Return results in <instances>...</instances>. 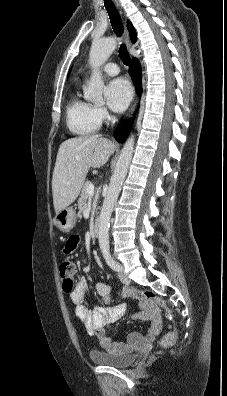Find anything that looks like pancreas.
Wrapping results in <instances>:
<instances>
[{"label": "pancreas", "instance_id": "1", "mask_svg": "<svg viewBox=\"0 0 227 396\" xmlns=\"http://www.w3.org/2000/svg\"><path fill=\"white\" fill-rule=\"evenodd\" d=\"M92 185V182L87 180L85 184L83 185L81 189V196L78 200V206L80 209L84 208L87 202V199L89 198V194L87 193V188Z\"/></svg>", "mask_w": 227, "mask_h": 396}]
</instances>
